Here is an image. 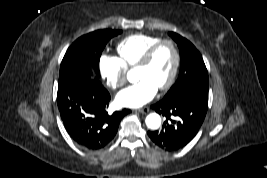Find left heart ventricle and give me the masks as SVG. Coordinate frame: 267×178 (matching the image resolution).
Segmentation results:
<instances>
[{
    "instance_id": "b2bd125f",
    "label": "left heart ventricle",
    "mask_w": 267,
    "mask_h": 178,
    "mask_svg": "<svg viewBox=\"0 0 267 178\" xmlns=\"http://www.w3.org/2000/svg\"><path fill=\"white\" fill-rule=\"evenodd\" d=\"M174 56L171 47L161 46L147 67L137 68V80L147 79L159 88L169 77Z\"/></svg>"
}]
</instances>
